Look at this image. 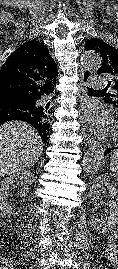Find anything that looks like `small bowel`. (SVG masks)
Segmentation results:
<instances>
[{
  "label": "small bowel",
  "instance_id": "1",
  "mask_svg": "<svg viewBox=\"0 0 118 269\" xmlns=\"http://www.w3.org/2000/svg\"><path fill=\"white\" fill-rule=\"evenodd\" d=\"M115 238V236H111V239H110V243L113 242V239Z\"/></svg>",
  "mask_w": 118,
  "mask_h": 269
}]
</instances>
